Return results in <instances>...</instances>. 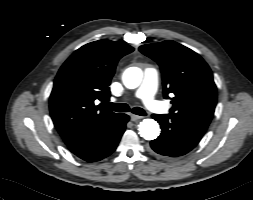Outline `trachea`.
<instances>
[{
  "mask_svg": "<svg viewBox=\"0 0 253 200\" xmlns=\"http://www.w3.org/2000/svg\"><path fill=\"white\" fill-rule=\"evenodd\" d=\"M103 106L107 109H110L115 112H128L130 111V107L127 104H114V103H104ZM132 113L139 116H146V112L140 108L135 107L132 110Z\"/></svg>",
  "mask_w": 253,
  "mask_h": 200,
  "instance_id": "obj_1",
  "label": "trachea"
}]
</instances>
